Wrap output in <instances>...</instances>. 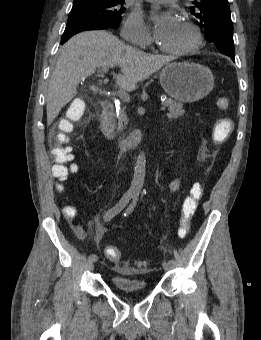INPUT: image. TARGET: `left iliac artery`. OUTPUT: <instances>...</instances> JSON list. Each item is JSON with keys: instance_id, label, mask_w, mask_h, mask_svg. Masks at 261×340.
<instances>
[{"instance_id": "44dca946", "label": "left iliac artery", "mask_w": 261, "mask_h": 340, "mask_svg": "<svg viewBox=\"0 0 261 340\" xmlns=\"http://www.w3.org/2000/svg\"><path fill=\"white\" fill-rule=\"evenodd\" d=\"M136 200H137V195H134V201L133 203L126 209L125 213H124V216H128V214H130L134 207H135V204H136ZM167 262L170 264V265H174L175 264V259L174 258H168Z\"/></svg>"}]
</instances>
